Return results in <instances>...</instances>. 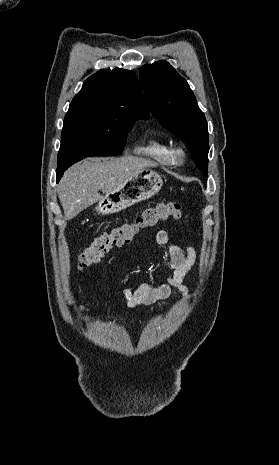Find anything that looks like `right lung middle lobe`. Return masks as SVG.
Listing matches in <instances>:
<instances>
[{
	"instance_id": "obj_1",
	"label": "right lung middle lobe",
	"mask_w": 279,
	"mask_h": 465,
	"mask_svg": "<svg viewBox=\"0 0 279 465\" xmlns=\"http://www.w3.org/2000/svg\"><path fill=\"white\" fill-rule=\"evenodd\" d=\"M137 118L120 117L99 126L63 128L58 169L68 168L88 156H116L123 150L127 133Z\"/></svg>"
}]
</instances>
